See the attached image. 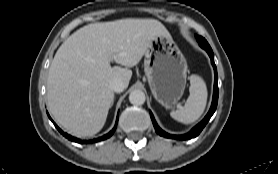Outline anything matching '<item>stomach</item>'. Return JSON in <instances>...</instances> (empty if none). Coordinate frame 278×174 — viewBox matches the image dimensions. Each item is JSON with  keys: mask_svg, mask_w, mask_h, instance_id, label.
Returning a JSON list of instances; mask_svg holds the SVG:
<instances>
[{"mask_svg": "<svg viewBox=\"0 0 278 174\" xmlns=\"http://www.w3.org/2000/svg\"><path fill=\"white\" fill-rule=\"evenodd\" d=\"M144 72L154 98L169 108L182 97L187 79V62L171 36H155L147 46Z\"/></svg>", "mask_w": 278, "mask_h": 174, "instance_id": "obj_1", "label": "stomach"}]
</instances>
